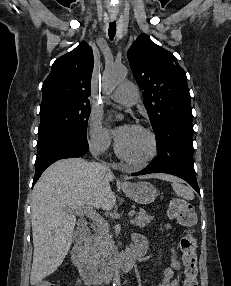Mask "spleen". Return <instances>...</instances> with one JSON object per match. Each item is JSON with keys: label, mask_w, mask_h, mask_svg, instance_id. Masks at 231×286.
Masks as SVG:
<instances>
[{"label": "spleen", "mask_w": 231, "mask_h": 286, "mask_svg": "<svg viewBox=\"0 0 231 286\" xmlns=\"http://www.w3.org/2000/svg\"><path fill=\"white\" fill-rule=\"evenodd\" d=\"M172 188L177 196L183 197L186 200H192L194 198V193L191 188L180 183L178 179H173Z\"/></svg>", "instance_id": "3e777b00"}]
</instances>
